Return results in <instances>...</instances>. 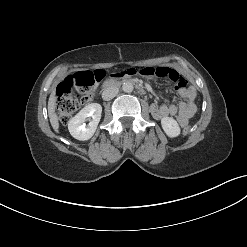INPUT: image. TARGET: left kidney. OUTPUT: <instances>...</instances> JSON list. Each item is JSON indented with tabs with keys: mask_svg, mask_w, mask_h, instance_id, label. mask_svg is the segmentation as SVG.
Segmentation results:
<instances>
[{
	"mask_svg": "<svg viewBox=\"0 0 247 247\" xmlns=\"http://www.w3.org/2000/svg\"><path fill=\"white\" fill-rule=\"evenodd\" d=\"M161 125L166 135L171 138L177 137L180 134V127L172 117H163Z\"/></svg>",
	"mask_w": 247,
	"mask_h": 247,
	"instance_id": "1",
	"label": "left kidney"
}]
</instances>
